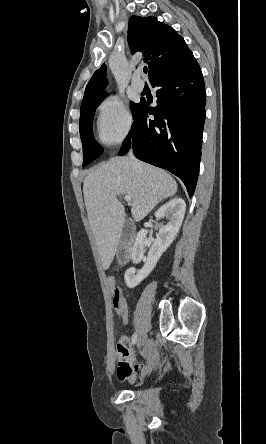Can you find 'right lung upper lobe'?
I'll list each match as a JSON object with an SVG mask.
<instances>
[{
	"mask_svg": "<svg viewBox=\"0 0 266 444\" xmlns=\"http://www.w3.org/2000/svg\"><path fill=\"white\" fill-rule=\"evenodd\" d=\"M128 43L133 54L137 51L143 53V60L149 65L150 81L194 58L184 39L172 27L157 21L153 16H131ZM106 84V65L103 64L88 82L82 103L105 95Z\"/></svg>",
	"mask_w": 266,
	"mask_h": 444,
	"instance_id": "obj_1",
	"label": "right lung upper lobe"
}]
</instances>
